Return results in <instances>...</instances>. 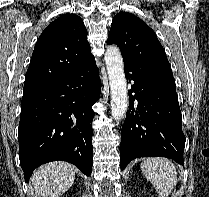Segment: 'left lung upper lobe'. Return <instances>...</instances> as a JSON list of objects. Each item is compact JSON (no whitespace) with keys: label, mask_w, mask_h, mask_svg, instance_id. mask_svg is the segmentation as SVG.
<instances>
[{"label":"left lung upper lobe","mask_w":209,"mask_h":197,"mask_svg":"<svg viewBox=\"0 0 209 197\" xmlns=\"http://www.w3.org/2000/svg\"><path fill=\"white\" fill-rule=\"evenodd\" d=\"M117 44L124 63L154 74L173 77V73L154 31L128 12L118 13L112 21L107 44Z\"/></svg>","instance_id":"obj_1"}]
</instances>
